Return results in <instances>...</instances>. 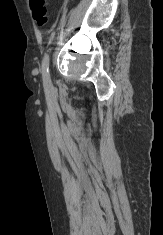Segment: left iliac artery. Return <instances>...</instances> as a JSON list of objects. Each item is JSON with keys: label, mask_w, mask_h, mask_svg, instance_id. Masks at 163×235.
<instances>
[{"label": "left iliac artery", "mask_w": 163, "mask_h": 235, "mask_svg": "<svg viewBox=\"0 0 163 235\" xmlns=\"http://www.w3.org/2000/svg\"><path fill=\"white\" fill-rule=\"evenodd\" d=\"M49 66H50V57L49 54H45L42 60V75L44 79H49Z\"/></svg>", "instance_id": "44dca946"}]
</instances>
